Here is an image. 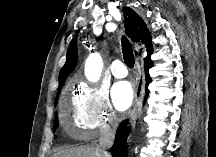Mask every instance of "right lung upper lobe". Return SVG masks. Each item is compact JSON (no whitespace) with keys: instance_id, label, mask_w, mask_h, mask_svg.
Returning <instances> with one entry per match:
<instances>
[{"instance_id":"cb5924a9","label":"right lung upper lobe","mask_w":216,"mask_h":157,"mask_svg":"<svg viewBox=\"0 0 216 157\" xmlns=\"http://www.w3.org/2000/svg\"><path fill=\"white\" fill-rule=\"evenodd\" d=\"M124 17H125V32L126 34L134 41H141L145 44L147 48V56L144 58V61L150 58V55L153 53L152 43H151V35L149 30L142 20V18L131 8L126 7L124 9ZM78 61L77 57V49H76V40L73 39L70 42L66 62L64 66L61 68L59 73V87L58 90L62 88L66 77L74 70Z\"/></svg>"}]
</instances>
